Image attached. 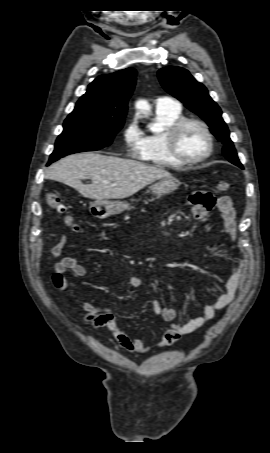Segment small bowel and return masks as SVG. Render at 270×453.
I'll use <instances>...</instances> for the list:
<instances>
[{
  "label": "small bowel",
  "mask_w": 270,
  "mask_h": 453,
  "mask_svg": "<svg viewBox=\"0 0 270 453\" xmlns=\"http://www.w3.org/2000/svg\"><path fill=\"white\" fill-rule=\"evenodd\" d=\"M190 202L193 205V214L196 219L206 216L209 210L195 200V195L191 197ZM216 206L222 218L223 232L228 235L231 242H234L237 235V224L231 198L229 196L218 198ZM66 244L67 236L64 235L51 249V254L59 259L55 264V274L61 277V283L58 287L60 290H65L68 287V281L64 277L66 271H72L77 277L86 275L85 267L76 258L62 256ZM243 272L244 260L242 258L233 260L230 266V276L225 282V292L215 302L205 305L202 315L192 318L183 325L174 323L177 317V311L174 308L164 306L158 300H153L151 303L152 312L164 321L171 323V327L159 342L150 345H146L138 336H128L120 327L116 316L109 307L92 302L82 303L81 308L84 311L82 321L89 325L91 329L108 328L116 339V342L113 343L115 348L131 354L146 355L155 349L173 345L182 336L194 332L212 320L218 310L227 307L234 300L243 279ZM128 284L132 288H142L145 286V281L140 277L133 276L129 278Z\"/></svg>",
  "instance_id": "small-bowel-1"
}]
</instances>
